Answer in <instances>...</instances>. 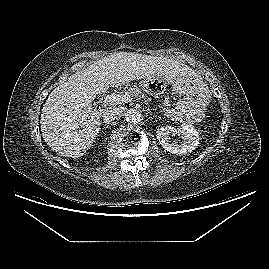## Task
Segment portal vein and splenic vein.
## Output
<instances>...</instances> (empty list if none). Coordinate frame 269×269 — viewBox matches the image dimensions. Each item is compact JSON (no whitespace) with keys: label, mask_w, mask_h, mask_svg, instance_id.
<instances>
[{"label":"portal vein and splenic vein","mask_w":269,"mask_h":269,"mask_svg":"<svg viewBox=\"0 0 269 269\" xmlns=\"http://www.w3.org/2000/svg\"><path fill=\"white\" fill-rule=\"evenodd\" d=\"M131 99L128 95L113 93L106 96L104 99V104H109L113 102H129Z\"/></svg>","instance_id":"portal-vein-and-splenic-vein-1"}]
</instances>
